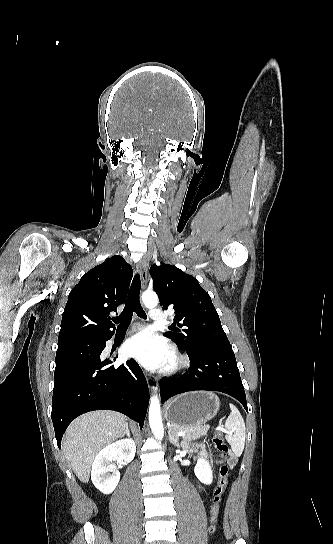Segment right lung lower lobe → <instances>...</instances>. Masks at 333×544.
<instances>
[{
    "label": "right lung lower lobe",
    "mask_w": 333,
    "mask_h": 544,
    "mask_svg": "<svg viewBox=\"0 0 333 544\" xmlns=\"http://www.w3.org/2000/svg\"><path fill=\"white\" fill-rule=\"evenodd\" d=\"M111 337L58 345L51 415L59 448L68 425L89 411L114 410L139 422L140 427L144 424L149 403L144 374L134 359L115 369L111 364L117 357H101Z\"/></svg>",
    "instance_id": "98d812e1"
}]
</instances>
